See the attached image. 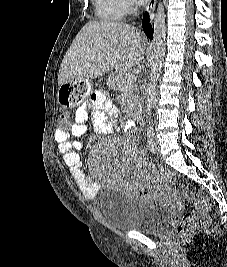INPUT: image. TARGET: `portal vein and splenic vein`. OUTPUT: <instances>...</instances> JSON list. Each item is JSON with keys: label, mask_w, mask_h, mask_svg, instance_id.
Returning <instances> with one entry per match:
<instances>
[{"label": "portal vein and splenic vein", "mask_w": 227, "mask_h": 267, "mask_svg": "<svg viewBox=\"0 0 227 267\" xmlns=\"http://www.w3.org/2000/svg\"><path fill=\"white\" fill-rule=\"evenodd\" d=\"M130 79H131L132 81H135V80H136V76H135V75H132V76L130 77Z\"/></svg>", "instance_id": "obj_1"}]
</instances>
